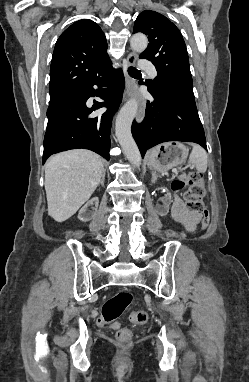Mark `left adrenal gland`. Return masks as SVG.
Segmentation results:
<instances>
[{"instance_id":"left-adrenal-gland-1","label":"left adrenal gland","mask_w":249,"mask_h":382,"mask_svg":"<svg viewBox=\"0 0 249 382\" xmlns=\"http://www.w3.org/2000/svg\"><path fill=\"white\" fill-rule=\"evenodd\" d=\"M157 178H158V175H156L155 172H152V180H151V182L154 183L157 180Z\"/></svg>"}]
</instances>
